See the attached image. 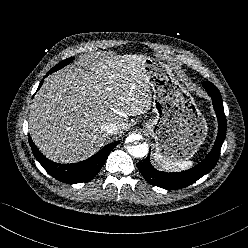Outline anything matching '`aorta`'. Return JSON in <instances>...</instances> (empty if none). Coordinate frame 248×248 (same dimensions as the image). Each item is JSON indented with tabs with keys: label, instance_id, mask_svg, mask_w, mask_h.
Listing matches in <instances>:
<instances>
[{
	"label": "aorta",
	"instance_id": "aorta-1",
	"mask_svg": "<svg viewBox=\"0 0 248 248\" xmlns=\"http://www.w3.org/2000/svg\"><path fill=\"white\" fill-rule=\"evenodd\" d=\"M140 136L138 134H133L128 137V142H130L126 148L130 155L136 158H142L148 154V145L145 143L135 144L136 140H139Z\"/></svg>",
	"mask_w": 248,
	"mask_h": 248
}]
</instances>
